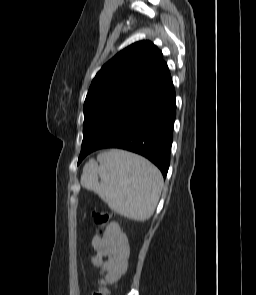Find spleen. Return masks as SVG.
I'll return each instance as SVG.
<instances>
[{
  "instance_id": "spleen-1",
  "label": "spleen",
  "mask_w": 256,
  "mask_h": 295,
  "mask_svg": "<svg viewBox=\"0 0 256 295\" xmlns=\"http://www.w3.org/2000/svg\"><path fill=\"white\" fill-rule=\"evenodd\" d=\"M81 184L116 213L145 221L155 211L163 178L158 168L142 156L112 149L98 154L97 162L90 160L84 166Z\"/></svg>"
}]
</instances>
